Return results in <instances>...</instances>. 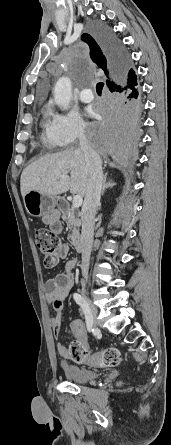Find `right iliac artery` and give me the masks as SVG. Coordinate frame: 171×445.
Listing matches in <instances>:
<instances>
[{"instance_id": "obj_1", "label": "right iliac artery", "mask_w": 171, "mask_h": 445, "mask_svg": "<svg viewBox=\"0 0 171 445\" xmlns=\"http://www.w3.org/2000/svg\"><path fill=\"white\" fill-rule=\"evenodd\" d=\"M73 298H74L75 302L81 307L82 312H83L84 317H85V320H86L87 330L89 332H91L93 323H92V320L90 318L89 310H88V307L86 305V302H85L84 298L80 294H78V293H74Z\"/></svg>"}]
</instances>
